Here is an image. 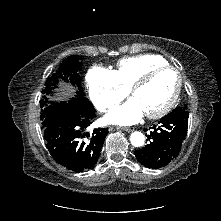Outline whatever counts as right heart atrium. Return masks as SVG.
<instances>
[{"label":"right heart atrium","instance_id":"right-heart-atrium-1","mask_svg":"<svg viewBox=\"0 0 221 221\" xmlns=\"http://www.w3.org/2000/svg\"><path fill=\"white\" fill-rule=\"evenodd\" d=\"M86 84L92 103L101 112L109 110L128 94L114 71L98 65L88 70Z\"/></svg>","mask_w":221,"mask_h":221}]
</instances>
